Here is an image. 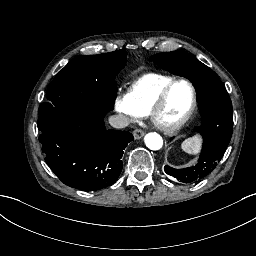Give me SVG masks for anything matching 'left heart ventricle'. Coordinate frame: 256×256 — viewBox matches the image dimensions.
Returning a JSON list of instances; mask_svg holds the SVG:
<instances>
[{"mask_svg": "<svg viewBox=\"0 0 256 256\" xmlns=\"http://www.w3.org/2000/svg\"><path fill=\"white\" fill-rule=\"evenodd\" d=\"M191 103L190 87L186 83L180 82L172 89L166 103L161 108L152 111V116L162 124L163 129L169 130L176 121L185 115ZM143 111H145V107Z\"/></svg>", "mask_w": 256, "mask_h": 256, "instance_id": "1", "label": "left heart ventricle"}]
</instances>
